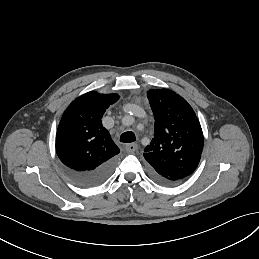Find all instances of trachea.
<instances>
[{
	"mask_svg": "<svg viewBox=\"0 0 259 259\" xmlns=\"http://www.w3.org/2000/svg\"><path fill=\"white\" fill-rule=\"evenodd\" d=\"M135 140H136L135 134L133 132H131V131L124 132L120 136V142H123V143H132Z\"/></svg>",
	"mask_w": 259,
	"mask_h": 259,
	"instance_id": "1",
	"label": "trachea"
}]
</instances>
